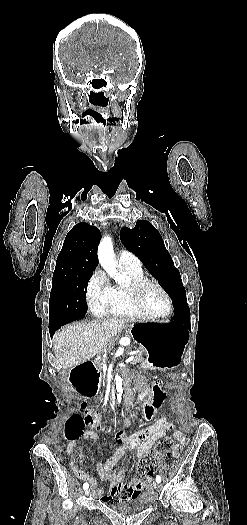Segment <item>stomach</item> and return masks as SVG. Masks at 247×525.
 Instances as JSON below:
<instances>
[{
	"instance_id": "stomach-1",
	"label": "stomach",
	"mask_w": 247,
	"mask_h": 525,
	"mask_svg": "<svg viewBox=\"0 0 247 525\" xmlns=\"http://www.w3.org/2000/svg\"><path fill=\"white\" fill-rule=\"evenodd\" d=\"M133 338L148 352L144 366L150 369H175L188 342L187 328L177 322L161 321L131 325Z\"/></svg>"
}]
</instances>
